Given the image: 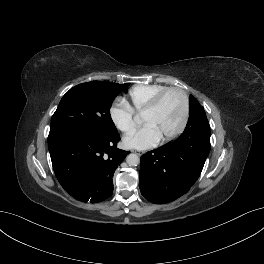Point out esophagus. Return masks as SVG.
I'll return each mask as SVG.
<instances>
[{
  "label": "esophagus",
  "instance_id": "obj_1",
  "mask_svg": "<svg viewBox=\"0 0 264 264\" xmlns=\"http://www.w3.org/2000/svg\"><path fill=\"white\" fill-rule=\"evenodd\" d=\"M132 152H134V153H136L138 155H142L143 154V152H140V151H132Z\"/></svg>",
  "mask_w": 264,
  "mask_h": 264
}]
</instances>
